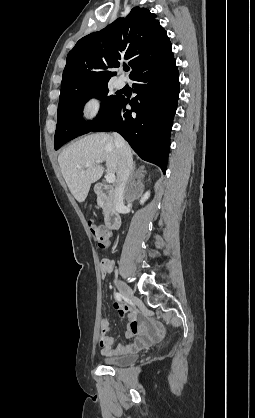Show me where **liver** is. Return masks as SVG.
<instances>
[{
	"label": "liver",
	"instance_id": "liver-1",
	"mask_svg": "<svg viewBox=\"0 0 255 418\" xmlns=\"http://www.w3.org/2000/svg\"><path fill=\"white\" fill-rule=\"evenodd\" d=\"M103 162L109 173L118 176L119 153L114 137L106 133L87 135L60 153L58 163L61 173L78 202L85 201L91 184L103 175Z\"/></svg>",
	"mask_w": 255,
	"mask_h": 418
}]
</instances>
